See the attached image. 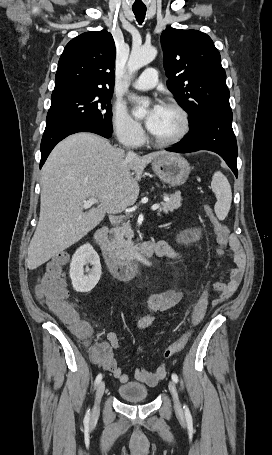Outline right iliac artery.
<instances>
[{
	"mask_svg": "<svg viewBox=\"0 0 272 455\" xmlns=\"http://www.w3.org/2000/svg\"><path fill=\"white\" fill-rule=\"evenodd\" d=\"M101 379H102V374L100 373V374L97 375V377H96V379H95V386H96L97 384H99V382L101 381ZM89 416H90V413H89V410H88L87 413H86V416H85V420H86V421H89Z\"/></svg>",
	"mask_w": 272,
	"mask_h": 455,
	"instance_id": "obj_1",
	"label": "right iliac artery"
}]
</instances>
